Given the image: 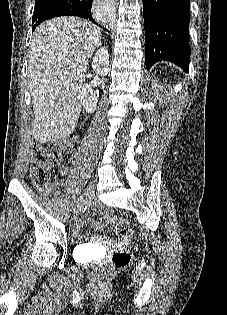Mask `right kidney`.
<instances>
[{"instance_id": "ca27d5eb", "label": "right kidney", "mask_w": 227, "mask_h": 315, "mask_svg": "<svg viewBox=\"0 0 227 315\" xmlns=\"http://www.w3.org/2000/svg\"><path fill=\"white\" fill-rule=\"evenodd\" d=\"M93 70L101 75H107L109 72V53L108 50L103 47L97 50L92 62ZM98 93H95L90 85H84L82 87L81 102L83 108L87 113L91 114L96 110L98 103Z\"/></svg>"}]
</instances>
